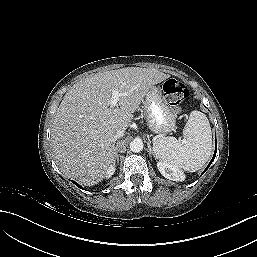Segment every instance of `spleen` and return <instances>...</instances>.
<instances>
[{"label":"spleen","mask_w":257,"mask_h":257,"mask_svg":"<svg viewBox=\"0 0 257 257\" xmlns=\"http://www.w3.org/2000/svg\"><path fill=\"white\" fill-rule=\"evenodd\" d=\"M184 139L159 138L153 143L155 157L189 172L201 169L212 153V134L205 114L192 111L183 129Z\"/></svg>","instance_id":"3e777b00"}]
</instances>
